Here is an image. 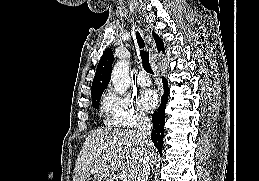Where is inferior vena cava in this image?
Here are the masks:
<instances>
[{
    "label": "inferior vena cava",
    "instance_id": "1",
    "mask_svg": "<svg viewBox=\"0 0 259 181\" xmlns=\"http://www.w3.org/2000/svg\"><path fill=\"white\" fill-rule=\"evenodd\" d=\"M152 126L147 116L143 115L138 121V134L143 144V161L141 169L136 177V181H148V176L151 167V158L149 155V149L151 148V142L148 139L151 134Z\"/></svg>",
    "mask_w": 259,
    "mask_h": 181
}]
</instances>
